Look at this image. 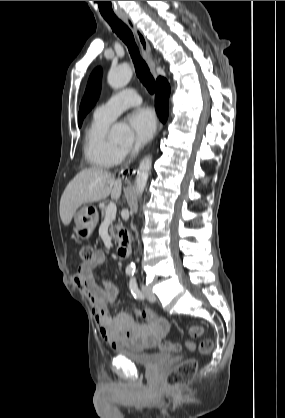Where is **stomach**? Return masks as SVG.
I'll list each match as a JSON object with an SVG mask.
<instances>
[{"label": "stomach", "instance_id": "1", "mask_svg": "<svg viewBox=\"0 0 285 418\" xmlns=\"http://www.w3.org/2000/svg\"><path fill=\"white\" fill-rule=\"evenodd\" d=\"M74 221L77 237L85 240L98 223V213L94 207H85L75 215Z\"/></svg>", "mask_w": 285, "mask_h": 418}]
</instances>
